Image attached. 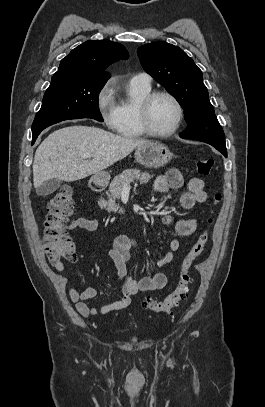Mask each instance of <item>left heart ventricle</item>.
I'll list each match as a JSON object with an SVG mask.
<instances>
[{
    "label": "left heart ventricle",
    "instance_id": "b2bd125f",
    "mask_svg": "<svg viewBox=\"0 0 265 407\" xmlns=\"http://www.w3.org/2000/svg\"><path fill=\"white\" fill-rule=\"evenodd\" d=\"M177 116L178 111L174 102L166 96H159L150 108V125L155 131L165 132L174 126Z\"/></svg>",
    "mask_w": 265,
    "mask_h": 407
}]
</instances>
